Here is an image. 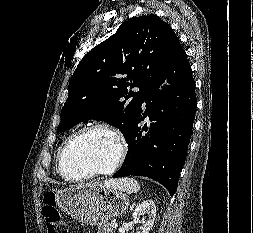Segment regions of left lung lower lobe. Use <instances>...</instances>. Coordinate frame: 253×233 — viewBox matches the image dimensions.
Segmentation results:
<instances>
[{"instance_id": "1", "label": "left lung lower lobe", "mask_w": 253, "mask_h": 233, "mask_svg": "<svg viewBox=\"0 0 253 233\" xmlns=\"http://www.w3.org/2000/svg\"><path fill=\"white\" fill-rule=\"evenodd\" d=\"M142 103L125 137V161L113 177L147 176L173 195L185 163L197 104L192 70L180 43L163 76L147 90ZM147 116L148 124L142 125Z\"/></svg>"}]
</instances>
